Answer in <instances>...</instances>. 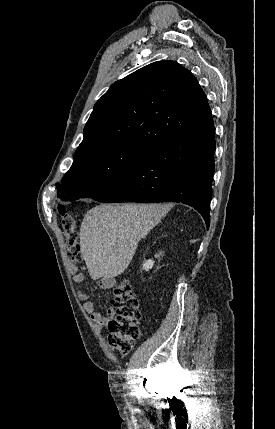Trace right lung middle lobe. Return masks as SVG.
I'll list each match as a JSON object with an SVG mask.
<instances>
[{
	"label": "right lung middle lobe",
	"mask_w": 275,
	"mask_h": 429,
	"mask_svg": "<svg viewBox=\"0 0 275 429\" xmlns=\"http://www.w3.org/2000/svg\"><path fill=\"white\" fill-rule=\"evenodd\" d=\"M149 153L129 145H114L74 160L61 184H56L58 197L64 201L92 197L136 169Z\"/></svg>",
	"instance_id": "right-lung-middle-lobe-1"
}]
</instances>
